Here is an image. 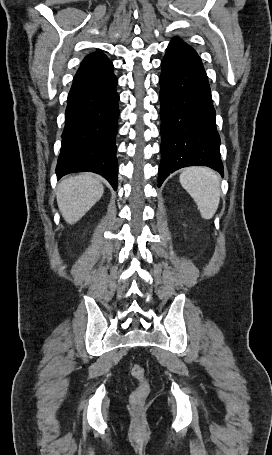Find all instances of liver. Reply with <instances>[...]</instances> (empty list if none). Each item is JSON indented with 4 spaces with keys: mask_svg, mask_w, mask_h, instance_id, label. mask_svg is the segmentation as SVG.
I'll return each instance as SVG.
<instances>
[{
    "mask_svg": "<svg viewBox=\"0 0 272 455\" xmlns=\"http://www.w3.org/2000/svg\"><path fill=\"white\" fill-rule=\"evenodd\" d=\"M104 193L100 180L82 173L60 181L56 197L58 208L68 224L78 222L98 202Z\"/></svg>",
    "mask_w": 272,
    "mask_h": 455,
    "instance_id": "obj_1",
    "label": "liver"
}]
</instances>
